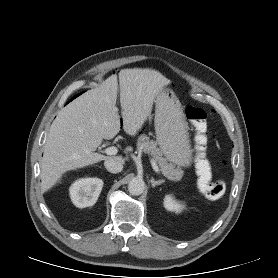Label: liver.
Segmentation results:
<instances>
[{
	"label": "liver",
	"instance_id": "1",
	"mask_svg": "<svg viewBox=\"0 0 278 278\" xmlns=\"http://www.w3.org/2000/svg\"><path fill=\"white\" fill-rule=\"evenodd\" d=\"M169 80L151 69H123L119 72L123 129L135 136L150 116L157 93ZM118 80L111 75L62 108L53 121L41 164V188L51 189L67 171L83 168L106 157L96 153L103 139H112L120 131L116 107Z\"/></svg>",
	"mask_w": 278,
	"mask_h": 278
}]
</instances>
